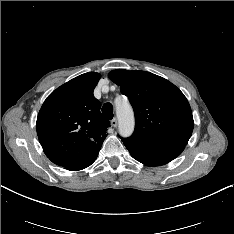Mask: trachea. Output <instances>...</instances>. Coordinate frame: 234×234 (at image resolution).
<instances>
[{"label":"trachea","instance_id":"1","mask_svg":"<svg viewBox=\"0 0 234 234\" xmlns=\"http://www.w3.org/2000/svg\"><path fill=\"white\" fill-rule=\"evenodd\" d=\"M102 113L107 119L113 118V106L111 103H105L102 107Z\"/></svg>","mask_w":234,"mask_h":234}]
</instances>
